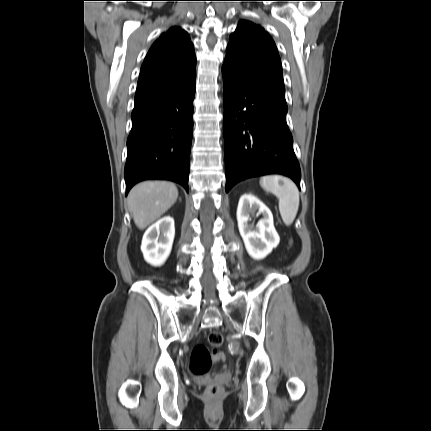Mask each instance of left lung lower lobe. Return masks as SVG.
Here are the masks:
<instances>
[{
    "label": "left lung lower lobe",
    "mask_w": 431,
    "mask_h": 431,
    "mask_svg": "<svg viewBox=\"0 0 431 431\" xmlns=\"http://www.w3.org/2000/svg\"><path fill=\"white\" fill-rule=\"evenodd\" d=\"M222 74L226 192L242 180L267 174L288 176L300 189L286 101Z\"/></svg>",
    "instance_id": "obj_1"
}]
</instances>
